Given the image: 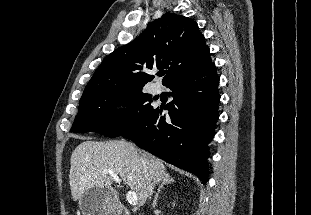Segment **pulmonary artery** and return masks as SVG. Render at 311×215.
I'll return each instance as SVG.
<instances>
[{"label":"pulmonary artery","instance_id":"pulmonary-artery-1","mask_svg":"<svg viewBox=\"0 0 311 215\" xmlns=\"http://www.w3.org/2000/svg\"><path fill=\"white\" fill-rule=\"evenodd\" d=\"M152 92H153V93H158V92H159V87L153 86V87H152Z\"/></svg>","mask_w":311,"mask_h":215}]
</instances>
